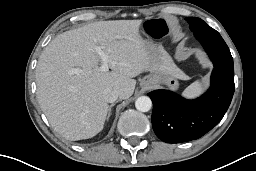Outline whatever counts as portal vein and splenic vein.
Returning a JSON list of instances; mask_svg holds the SVG:
<instances>
[{
  "instance_id": "portal-vein-and-splenic-vein-1",
  "label": "portal vein and splenic vein",
  "mask_w": 256,
  "mask_h": 171,
  "mask_svg": "<svg viewBox=\"0 0 256 171\" xmlns=\"http://www.w3.org/2000/svg\"><path fill=\"white\" fill-rule=\"evenodd\" d=\"M97 54L100 56V59L102 61V65L100 66V70L102 72H106L109 70V63H115L112 60L109 59L108 55L105 54V52L102 50L101 47L96 48ZM72 73H78V69H72Z\"/></svg>"
}]
</instances>
